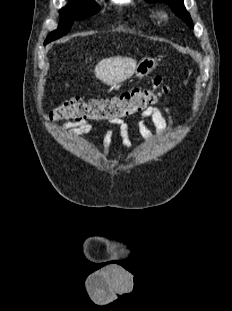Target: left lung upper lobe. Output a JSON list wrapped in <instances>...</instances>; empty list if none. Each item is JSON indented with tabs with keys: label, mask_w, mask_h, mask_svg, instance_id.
I'll list each match as a JSON object with an SVG mask.
<instances>
[{
	"label": "left lung upper lobe",
	"mask_w": 232,
	"mask_h": 311,
	"mask_svg": "<svg viewBox=\"0 0 232 311\" xmlns=\"http://www.w3.org/2000/svg\"><path fill=\"white\" fill-rule=\"evenodd\" d=\"M150 3L153 2H164L167 3L173 12L179 16L182 20H184L191 28H193L192 19L190 14L186 11L183 0H146Z\"/></svg>",
	"instance_id": "5c2ea615"
}]
</instances>
